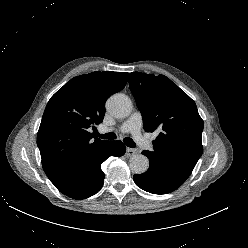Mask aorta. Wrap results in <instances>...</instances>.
Wrapping results in <instances>:
<instances>
[{"mask_svg":"<svg viewBox=\"0 0 248 248\" xmlns=\"http://www.w3.org/2000/svg\"><path fill=\"white\" fill-rule=\"evenodd\" d=\"M108 112L116 118H126L132 112V102L124 94H115L107 101ZM129 167L135 174L145 173L149 168V160L143 154L132 155L129 159Z\"/></svg>","mask_w":248,"mask_h":248,"instance_id":"762f6f07","label":"aorta"}]
</instances>
